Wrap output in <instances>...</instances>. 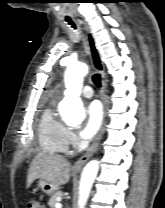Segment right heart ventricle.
<instances>
[{
    "label": "right heart ventricle",
    "instance_id": "e07e8e85",
    "mask_svg": "<svg viewBox=\"0 0 165 208\" xmlns=\"http://www.w3.org/2000/svg\"><path fill=\"white\" fill-rule=\"evenodd\" d=\"M69 130L55 116L51 108H46L38 124V139L43 151L50 154H63L69 151Z\"/></svg>",
    "mask_w": 165,
    "mask_h": 208
}]
</instances>
